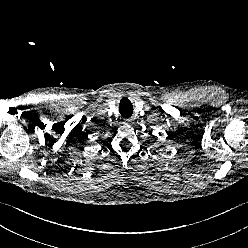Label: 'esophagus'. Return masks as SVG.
Masks as SVG:
<instances>
[{
	"instance_id": "1",
	"label": "esophagus",
	"mask_w": 248,
	"mask_h": 248,
	"mask_svg": "<svg viewBox=\"0 0 248 248\" xmlns=\"http://www.w3.org/2000/svg\"><path fill=\"white\" fill-rule=\"evenodd\" d=\"M131 122H132L131 118H125L124 119V123L127 124V125L130 124Z\"/></svg>"
}]
</instances>
